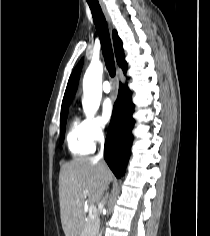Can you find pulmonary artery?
Listing matches in <instances>:
<instances>
[{"label":"pulmonary artery","mask_w":210,"mask_h":236,"mask_svg":"<svg viewBox=\"0 0 210 236\" xmlns=\"http://www.w3.org/2000/svg\"><path fill=\"white\" fill-rule=\"evenodd\" d=\"M102 90L105 92V93H109L112 91V88H111V85L108 81L104 82L103 85H102Z\"/></svg>","instance_id":"e3ab8cb5"}]
</instances>
